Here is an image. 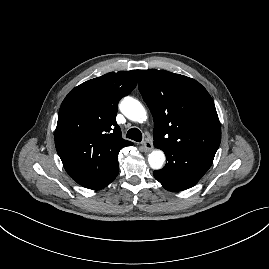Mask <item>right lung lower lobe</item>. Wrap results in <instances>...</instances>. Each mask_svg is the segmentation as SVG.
I'll return each instance as SVG.
<instances>
[{
    "mask_svg": "<svg viewBox=\"0 0 269 269\" xmlns=\"http://www.w3.org/2000/svg\"><path fill=\"white\" fill-rule=\"evenodd\" d=\"M119 172V164L118 160H116L104 173L101 175L98 179H96L94 182L90 183L89 185H86L84 187L89 189H102L109 185L118 175Z\"/></svg>",
    "mask_w": 269,
    "mask_h": 269,
    "instance_id": "1",
    "label": "right lung lower lobe"
}]
</instances>
